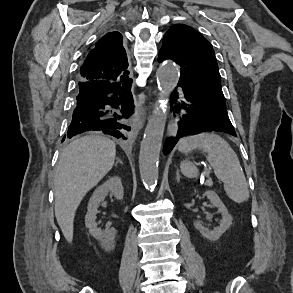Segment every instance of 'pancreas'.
<instances>
[{
  "instance_id": "cf45deb5",
  "label": "pancreas",
  "mask_w": 293,
  "mask_h": 293,
  "mask_svg": "<svg viewBox=\"0 0 293 293\" xmlns=\"http://www.w3.org/2000/svg\"><path fill=\"white\" fill-rule=\"evenodd\" d=\"M207 185H208V186H212V185H213L212 181H208V182H207Z\"/></svg>"
}]
</instances>
